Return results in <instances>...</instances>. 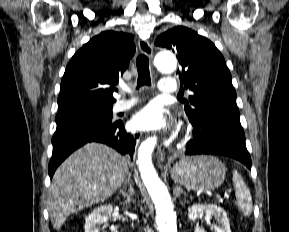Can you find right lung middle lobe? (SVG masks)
Segmentation results:
<instances>
[{"label": "right lung middle lobe", "instance_id": "obj_1", "mask_svg": "<svg viewBox=\"0 0 289 232\" xmlns=\"http://www.w3.org/2000/svg\"><path fill=\"white\" fill-rule=\"evenodd\" d=\"M112 117V106L87 105L59 109L55 121L57 125L79 121L111 123Z\"/></svg>", "mask_w": 289, "mask_h": 232}]
</instances>
